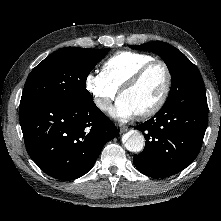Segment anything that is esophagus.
Wrapping results in <instances>:
<instances>
[{"label":"esophagus","mask_w":221,"mask_h":221,"mask_svg":"<svg viewBox=\"0 0 221 221\" xmlns=\"http://www.w3.org/2000/svg\"><path fill=\"white\" fill-rule=\"evenodd\" d=\"M128 130V127L127 126H121L120 127V132L123 133V132H126Z\"/></svg>","instance_id":"obj_1"}]
</instances>
